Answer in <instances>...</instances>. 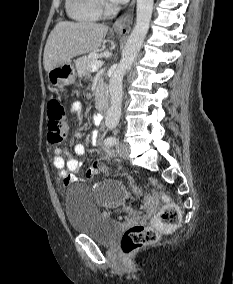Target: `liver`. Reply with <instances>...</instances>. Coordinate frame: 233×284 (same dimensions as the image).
I'll use <instances>...</instances> for the list:
<instances>
[{
    "label": "liver",
    "instance_id": "liver-1",
    "mask_svg": "<svg viewBox=\"0 0 233 284\" xmlns=\"http://www.w3.org/2000/svg\"><path fill=\"white\" fill-rule=\"evenodd\" d=\"M108 27L91 22L61 21L51 31L43 56L46 72L70 62L73 57L98 49Z\"/></svg>",
    "mask_w": 233,
    "mask_h": 284
}]
</instances>
